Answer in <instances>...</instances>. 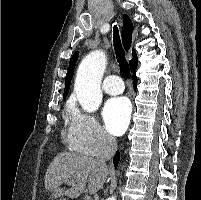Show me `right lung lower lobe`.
Here are the masks:
<instances>
[{
  "label": "right lung lower lobe",
  "instance_id": "obj_1",
  "mask_svg": "<svg viewBox=\"0 0 201 200\" xmlns=\"http://www.w3.org/2000/svg\"><path fill=\"white\" fill-rule=\"evenodd\" d=\"M133 81L135 86L137 85V77L135 75V72H133ZM120 160V155H119V151H117V153L115 154L114 158H113V163H114V167L117 168L118 162Z\"/></svg>",
  "mask_w": 201,
  "mask_h": 200
}]
</instances>
